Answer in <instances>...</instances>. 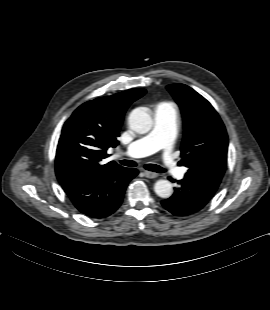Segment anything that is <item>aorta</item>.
Wrapping results in <instances>:
<instances>
[{"label": "aorta", "instance_id": "aorta-1", "mask_svg": "<svg viewBox=\"0 0 270 310\" xmlns=\"http://www.w3.org/2000/svg\"><path fill=\"white\" fill-rule=\"evenodd\" d=\"M130 128L138 134H146L152 127V118L146 108L134 109L128 118ZM155 193L161 198H169L173 193L170 181L160 179L154 185Z\"/></svg>", "mask_w": 270, "mask_h": 310}]
</instances>
